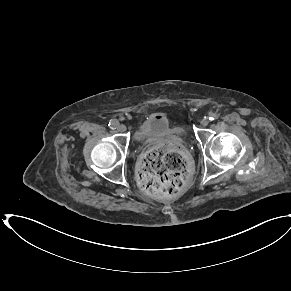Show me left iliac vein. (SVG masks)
Listing matches in <instances>:
<instances>
[{"label":"left iliac vein","mask_w":291,"mask_h":291,"mask_svg":"<svg viewBox=\"0 0 291 291\" xmlns=\"http://www.w3.org/2000/svg\"><path fill=\"white\" fill-rule=\"evenodd\" d=\"M209 123V120L208 118H203L201 121H200V124L202 127H206Z\"/></svg>","instance_id":"obj_1"}]
</instances>
